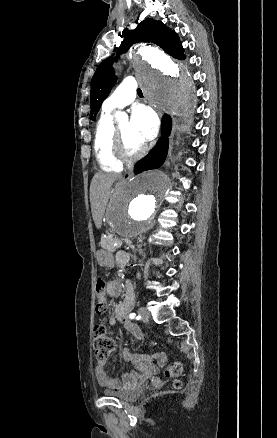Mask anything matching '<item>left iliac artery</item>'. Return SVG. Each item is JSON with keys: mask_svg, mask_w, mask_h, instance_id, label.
<instances>
[{"mask_svg": "<svg viewBox=\"0 0 277 438\" xmlns=\"http://www.w3.org/2000/svg\"><path fill=\"white\" fill-rule=\"evenodd\" d=\"M129 317H130L131 319H134V318L136 317V314H135V313H131V314L129 315ZM137 318L140 319V316H137Z\"/></svg>", "mask_w": 277, "mask_h": 438, "instance_id": "1", "label": "left iliac artery"}]
</instances>
